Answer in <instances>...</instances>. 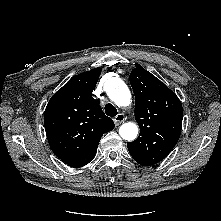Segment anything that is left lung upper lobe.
I'll return each instance as SVG.
<instances>
[{"label": "left lung upper lobe", "instance_id": "5c2ea615", "mask_svg": "<svg viewBox=\"0 0 221 221\" xmlns=\"http://www.w3.org/2000/svg\"><path fill=\"white\" fill-rule=\"evenodd\" d=\"M130 83L140 134L127 147L135 161L150 166L163 160L178 142L183 108L176 94L139 64L130 74Z\"/></svg>", "mask_w": 221, "mask_h": 221}]
</instances>
